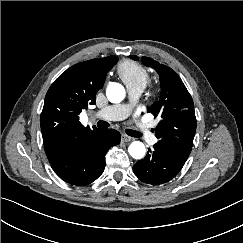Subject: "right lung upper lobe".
I'll list each match as a JSON object with an SVG mask.
<instances>
[{
  "label": "right lung upper lobe",
  "instance_id": "cb5924a9",
  "mask_svg": "<svg viewBox=\"0 0 243 243\" xmlns=\"http://www.w3.org/2000/svg\"><path fill=\"white\" fill-rule=\"evenodd\" d=\"M115 56L75 64L63 72L49 88L40 117L43 143L50 148L91 134L79 121L87 104H95L96 92L103 87L106 74L116 63Z\"/></svg>",
  "mask_w": 243,
  "mask_h": 243
}]
</instances>
